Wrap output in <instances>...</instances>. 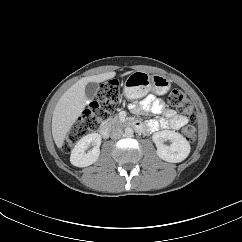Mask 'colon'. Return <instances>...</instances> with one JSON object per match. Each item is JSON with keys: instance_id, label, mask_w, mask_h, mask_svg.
<instances>
[{"instance_id": "colon-1", "label": "colon", "mask_w": 242, "mask_h": 242, "mask_svg": "<svg viewBox=\"0 0 242 242\" xmlns=\"http://www.w3.org/2000/svg\"><path fill=\"white\" fill-rule=\"evenodd\" d=\"M121 97V89L118 81L111 80L104 83L97 91L82 117H80L68 132L63 148L70 151L72 147L84 136L95 132L102 123L108 120ZM168 104L179 112L186 114L190 121L182 128L183 136L189 141L196 139L195 112L191 102L180 89L171 91Z\"/></svg>"}]
</instances>
